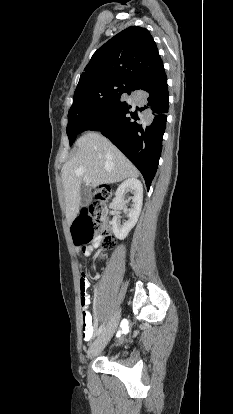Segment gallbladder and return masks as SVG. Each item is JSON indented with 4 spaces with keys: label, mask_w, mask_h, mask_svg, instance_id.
<instances>
[{
    "label": "gallbladder",
    "mask_w": 233,
    "mask_h": 414,
    "mask_svg": "<svg viewBox=\"0 0 233 414\" xmlns=\"http://www.w3.org/2000/svg\"><path fill=\"white\" fill-rule=\"evenodd\" d=\"M81 201L80 205L86 207L91 202V188L87 184H82L80 188Z\"/></svg>",
    "instance_id": "obj_1"
}]
</instances>
